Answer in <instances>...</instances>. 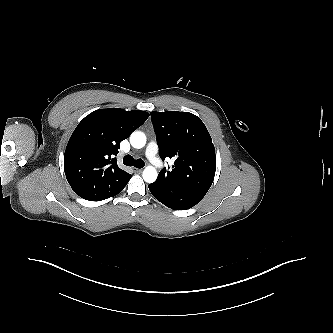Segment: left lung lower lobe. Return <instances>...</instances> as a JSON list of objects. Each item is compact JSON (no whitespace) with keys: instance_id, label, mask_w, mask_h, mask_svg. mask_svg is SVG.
I'll list each match as a JSON object with an SVG mask.
<instances>
[{"instance_id":"left-lung-lower-lobe-1","label":"left lung lower lobe","mask_w":333,"mask_h":333,"mask_svg":"<svg viewBox=\"0 0 333 333\" xmlns=\"http://www.w3.org/2000/svg\"><path fill=\"white\" fill-rule=\"evenodd\" d=\"M152 195L165 206L174 210L189 209L198 204L207 192L175 186L167 180L159 179L148 185Z\"/></svg>"}]
</instances>
